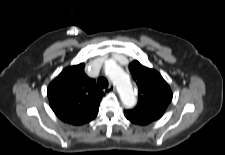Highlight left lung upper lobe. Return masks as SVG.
<instances>
[{"mask_svg": "<svg viewBox=\"0 0 225 155\" xmlns=\"http://www.w3.org/2000/svg\"><path fill=\"white\" fill-rule=\"evenodd\" d=\"M129 70L138 86L139 102L124 114L134 124L148 125L165 113L172 101L171 89L156 70L141 65L137 60L130 63Z\"/></svg>", "mask_w": 225, "mask_h": 155, "instance_id": "5c2ea615", "label": "left lung upper lobe"}]
</instances>
